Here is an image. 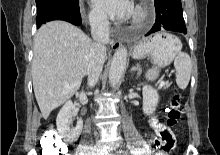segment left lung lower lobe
I'll return each instance as SVG.
<instances>
[{
	"mask_svg": "<svg viewBox=\"0 0 220 155\" xmlns=\"http://www.w3.org/2000/svg\"><path fill=\"white\" fill-rule=\"evenodd\" d=\"M155 10L156 21L147 35L164 29L187 33L181 0H155Z\"/></svg>",
	"mask_w": 220,
	"mask_h": 155,
	"instance_id": "left-lung-lower-lobe-1",
	"label": "left lung lower lobe"
}]
</instances>
